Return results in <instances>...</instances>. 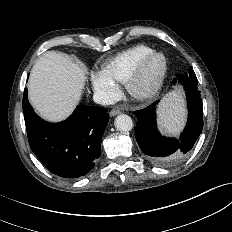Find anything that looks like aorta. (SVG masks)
<instances>
[{
    "label": "aorta",
    "mask_w": 232,
    "mask_h": 232,
    "mask_svg": "<svg viewBox=\"0 0 232 232\" xmlns=\"http://www.w3.org/2000/svg\"><path fill=\"white\" fill-rule=\"evenodd\" d=\"M115 127L119 131H130L133 128V121L130 116L120 114L115 118Z\"/></svg>",
    "instance_id": "aorta-1"
}]
</instances>
